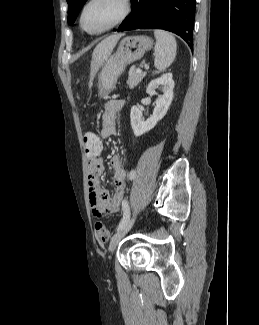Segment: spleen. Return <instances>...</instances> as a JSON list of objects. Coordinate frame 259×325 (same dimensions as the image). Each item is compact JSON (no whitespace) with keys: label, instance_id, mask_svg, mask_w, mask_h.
<instances>
[{"label":"spleen","instance_id":"spleen-1","mask_svg":"<svg viewBox=\"0 0 259 325\" xmlns=\"http://www.w3.org/2000/svg\"><path fill=\"white\" fill-rule=\"evenodd\" d=\"M156 45L154 48V65L159 71L166 70L176 57V40L167 31L155 30Z\"/></svg>","mask_w":259,"mask_h":325}]
</instances>
